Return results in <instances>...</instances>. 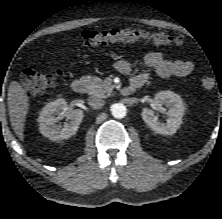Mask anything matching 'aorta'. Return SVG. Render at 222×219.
I'll return each mask as SVG.
<instances>
[{
  "label": "aorta",
  "mask_w": 222,
  "mask_h": 219,
  "mask_svg": "<svg viewBox=\"0 0 222 219\" xmlns=\"http://www.w3.org/2000/svg\"><path fill=\"white\" fill-rule=\"evenodd\" d=\"M111 112H112V115L115 118L121 119V118H124L126 116L127 109H126V106L124 104L116 103V104L112 105Z\"/></svg>",
  "instance_id": "1"
}]
</instances>
